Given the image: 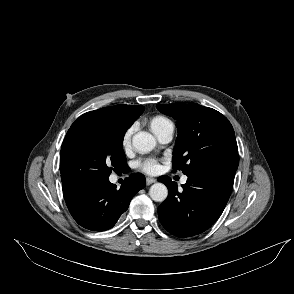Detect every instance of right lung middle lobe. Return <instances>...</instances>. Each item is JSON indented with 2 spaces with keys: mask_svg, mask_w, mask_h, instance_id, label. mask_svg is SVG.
<instances>
[{
  "mask_svg": "<svg viewBox=\"0 0 294 294\" xmlns=\"http://www.w3.org/2000/svg\"><path fill=\"white\" fill-rule=\"evenodd\" d=\"M126 130L102 122L72 124L61 147L62 184L109 178L112 170L125 168Z\"/></svg>",
  "mask_w": 294,
  "mask_h": 294,
  "instance_id": "dd1d6c3e",
  "label": "right lung middle lobe"
}]
</instances>
